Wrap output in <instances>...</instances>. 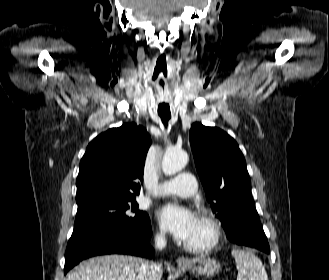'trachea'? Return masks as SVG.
Here are the masks:
<instances>
[{
    "label": "trachea",
    "instance_id": "trachea-1",
    "mask_svg": "<svg viewBox=\"0 0 329 280\" xmlns=\"http://www.w3.org/2000/svg\"><path fill=\"white\" fill-rule=\"evenodd\" d=\"M159 116L161 117V120H162L163 124L165 125V127H167L168 121L171 118V114L159 113Z\"/></svg>",
    "mask_w": 329,
    "mask_h": 280
}]
</instances>
